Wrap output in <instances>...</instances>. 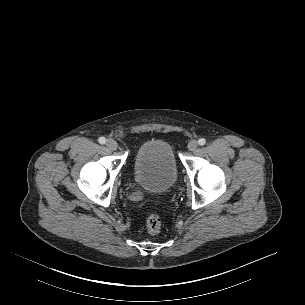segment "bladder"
Returning <instances> with one entry per match:
<instances>
[{
	"label": "bladder",
	"instance_id": "obj_1",
	"mask_svg": "<svg viewBox=\"0 0 305 305\" xmlns=\"http://www.w3.org/2000/svg\"><path fill=\"white\" fill-rule=\"evenodd\" d=\"M132 174L135 182L147 191L160 193L172 189L178 171L170 144L159 138L143 142L134 154Z\"/></svg>",
	"mask_w": 305,
	"mask_h": 305
}]
</instances>
